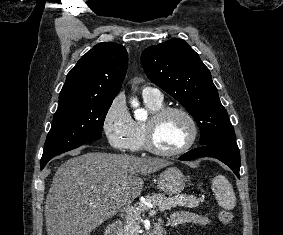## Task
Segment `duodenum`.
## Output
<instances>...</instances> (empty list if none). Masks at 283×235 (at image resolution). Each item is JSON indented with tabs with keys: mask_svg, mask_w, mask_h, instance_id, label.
<instances>
[{
	"mask_svg": "<svg viewBox=\"0 0 283 235\" xmlns=\"http://www.w3.org/2000/svg\"><path fill=\"white\" fill-rule=\"evenodd\" d=\"M121 231V222L115 221L109 225V227L106 230V235H120ZM151 235H162V226L160 224H157L153 230Z\"/></svg>",
	"mask_w": 283,
	"mask_h": 235,
	"instance_id": "410a0bca",
	"label": "duodenum"
}]
</instances>
